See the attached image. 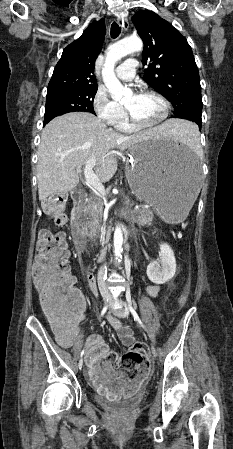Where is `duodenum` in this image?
<instances>
[{
  "label": "duodenum",
  "mask_w": 233,
  "mask_h": 449,
  "mask_svg": "<svg viewBox=\"0 0 233 449\" xmlns=\"http://www.w3.org/2000/svg\"><path fill=\"white\" fill-rule=\"evenodd\" d=\"M72 199L74 202V209L72 212V222L75 225L76 223L81 221V215L80 211L78 210V207H80L84 200L86 199V194L83 192H76L72 195ZM109 253V247L108 245H105L98 253L97 259L98 260H104Z\"/></svg>",
  "instance_id": "duodenum-1"
}]
</instances>
